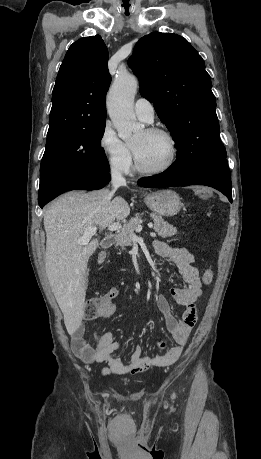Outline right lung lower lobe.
<instances>
[{"instance_id": "1", "label": "right lung lower lobe", "mask_w": 261, "mask_h": 459, "mask_svg": "<svg viewBox=\"0 0 261 459\" xmlns=\"http://www.w3.org/2000/svg\"><path fill=\"white\" fill-rule=\"evenodd\" d=\"M110 181V174L107 173H80L69 176L58 181L46 194L38 197V203L43 208L49 201L58 195L76 189L95 190L103 188Z\"/></svg>"}]
</instances>
